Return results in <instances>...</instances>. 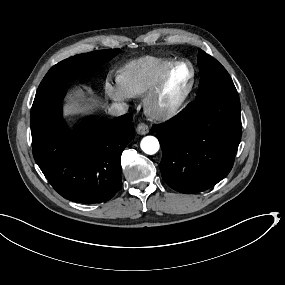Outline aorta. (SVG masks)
Returning <instances> with one entry per match:
<instances>
[{
	"instance_id": "762f6f07",
	"label": "aorta",
	"mask_w": 285,
	"mask_h": 285,
	"mask_svg": "<svg viewBox=\"0 0 285 285\" xmlns=\"http://www.w3.org/2000/svg\"><path fill=\"white\" fill-rule=\"evenodd\" d=\"M158 140L153 136H147L141 141V149L148 155H154L159 151Z\"/></svg>"
}]
</instances>
